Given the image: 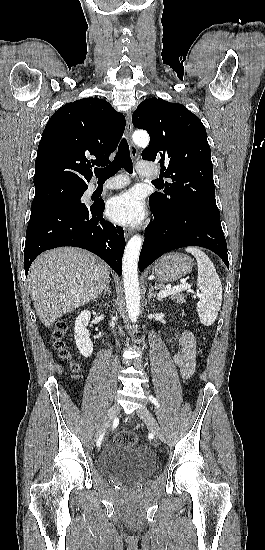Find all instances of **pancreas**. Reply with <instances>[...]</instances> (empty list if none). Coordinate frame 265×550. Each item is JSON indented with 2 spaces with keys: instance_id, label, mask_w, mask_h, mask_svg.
I'll return each instance as SVG.
<instances>
[{
  "instance_id": "1",
  "label": "pancreas",
  "mask_w": 265,
  "mask_h": 550,
  "mask_svg": "<svg viewBox=\"0 0 265 550\" xmlns=\"http://www.w3.org/2000/svg\"><path fill=\"white\" fill-rule=\"evenodd\" d=\"M157 288L160 289V290H166L165 286L163 284H159L157 285ZM170 298L172 300H175L177 303L179 304H183L186 302L185 298L186 296L184 294H181V293H175V294H172L170 295Z\"/></svg>"
}]
</instances>
